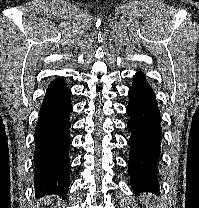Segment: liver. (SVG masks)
Instances as JSON below:
<instances>
[{"label":"liver","instance_id":"6515ba94","mask_svg":"<svg viewBox=\"0 0 199 208\" xmlns=\"http://www.w3.org/2000/svg\"><path fill=\"white\" fill-rule=\"evenodd\" d=\"M44 202H45V203H48V202H49V198H48V197L45 198V199H44Z\"/></svg>","mask_w":199,"mask_h":208}]
</instances>
